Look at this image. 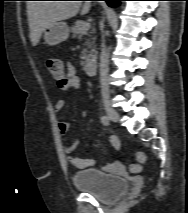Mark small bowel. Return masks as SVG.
<instances>
[{"mask_svg":"<svg viewBox=\"0 0 188 213\" xmlns=\"http://www.w3.org/2000/svg\"><path fill=\"white\" fill-rule=\"evenodd\" d=\"M56 80L58 87L63 91H71L73 89L79 88L81 85V78L73 73L72 68H69L66 73H63L62 77L56 78ZM64 107L65 100L60 99L55 104V111L61 112ZM69 127L70 122L68 120H61L58 122V130L61 134H66L69 130ZM110 142L116 149H119L120 143L116 137H110ZM78 143V140H75L65 147L66 152L69 154L68 160L70 164L76 169H84L93 166L95 164L94 159H82L70 155L77 148ZM103 169L107 172H115L121 169V164L118 160H115L112 163L106 165Z\"/></svg>","mask_w":188,"mask_h":213,"instance_id":"c3829d8e","label":"small bowel"}]
</instances>
